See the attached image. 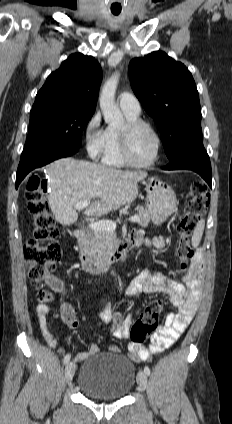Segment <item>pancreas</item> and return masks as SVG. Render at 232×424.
<instances>
[{
    "label": "pancreas",
    "mask_w": 232,
    "mask_h": 424,
    "mask_svg": "<svg viewBox=\"0 0 232 424\" xmlns=\"http://www.w3.org/2000/svg\"><path fill=\"white\" fill-rule=\"evenodd\" d=\"M136 216L140 218L137 222L141 227H147L150 222V215L146 208L139 206ZM115 243V232L108 230H93L86 238V244L91 254L96 259H102L112 250Z\"/></svg>",
    "instance_id": "1"
}]
</instances>
